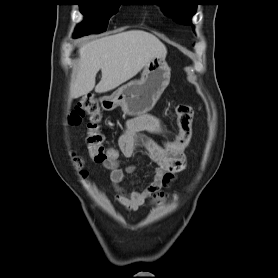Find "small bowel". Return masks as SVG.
Wrapping results in <instances>:
<instances>
[{"instance_id": "obj_1", "label": "small bowel", "mask_w": 278, "mask_h": 278, "mask_svg": "<svg viewBox=\"0 0 278 278\" xmlns=\"http://www.w3.org/2000/svg\"><path fill=\"white\" fill-rule=\"evenodd\" d=\"M163 135L170 138L161 120L153 115L145 114L127 121L124 131L118 139L119 157L101 162L109 171L110 183L115 192V199L128 211H136L152 194L159 192L175 180L176 175L186 165L185 154H176L163 143H157L144 133ZM140 149L144 150L155 164L153 180L141 190L126 191L120 184L127 180V174L133 167L122 168L120 157H132Z\"/></svg>"}]
</instances>
